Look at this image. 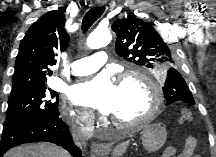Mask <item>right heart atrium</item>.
I'll use <instances>...</instances> for the list:
<instances>
[{
    "instance_id": "1",
    "label": "right heart atrium",
    "mask_w": 216,
    "mask_h": 157,
    "mask_svg": "<svg viewBox=\"0 0 216 157\" xmlns=\"http://www.w3.org/2000/svg\"><path fill=\"white\" fill-rule=\"evenodd\" d=\"M61 114L65 120L72 124L79 131H87L91 128L93 116L87 111H75L66 104L60 108Z\"/></svg>"
}]
</instances>
